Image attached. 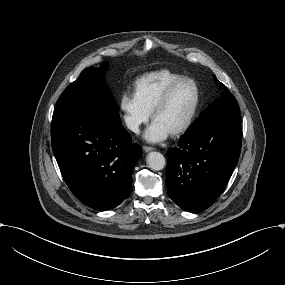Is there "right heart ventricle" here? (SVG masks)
<instances>
[{"label": "right heart ventricle", "instance_id": "obj_1", "mask_svg": "<svg viewBox=\"0 0 285 285\" xmlns=\"http://www.w3.org/2000/svg\"><path fill=\"white\" fill-rule=\"evenodd\" d=\"M181 78H183L182 75L165 69L151 72L137 80L135 91L145 107L151 112L164 91Z\"/></svg>", "mask_w": 285, "mask_h": 285}]
</instances>
